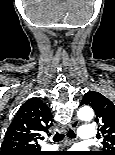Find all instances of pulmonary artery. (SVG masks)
I'll return each instance as SVG.
<instances>
[{
    "label": "pulmonary artery",
    "instance_id": "e3ab8cb5",
    "mask_svg": "<svg viewBox=\"0 0 115 155\" xmlns=\"http://www.w3.org/2000/svg\"><path fill=\"white\" fill-rule=\"evenodd\" d=\"M96 130L91 126H82L78 131V136L84 142H89L95 138Z\"/></svg>",
    "mask_w": 115,
    "mask_h": 155
}]
</instances>
